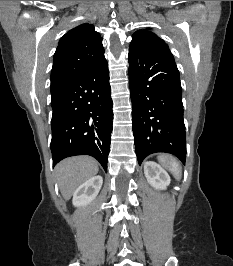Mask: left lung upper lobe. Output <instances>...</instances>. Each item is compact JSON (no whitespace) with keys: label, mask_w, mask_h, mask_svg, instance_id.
<instances>
[{"label":"left lung upper lobe","mask_w":233,"mask_h":266,"mask_svg":"<svg viewBox=\"0 0 233 266\" xmlns=\"http://www.w3.org/2000/svg\"><path fill=\"white\" fill-rule=\"evenodd\" d=\"M130 48L171 53L164 40L159 38L155 33L146 30H138L134 33Z\"/></svg>","instance_id":"1"}]
</instances>
